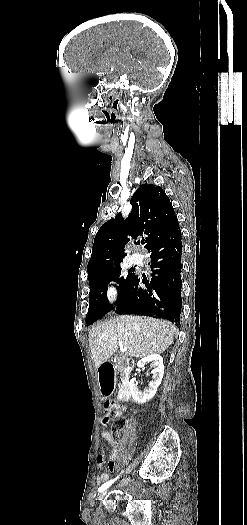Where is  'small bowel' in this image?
<instances>
[{"label": "small bowel", "mask_w": 247, "mask_h": 525, "mask_svg": "<svg viewBox=\"0 0 247 525\" xmlns=\"http://www.w3.org/2000/svg\"><path fill=\"white\" fill-rule=\"evenodd\" d=\"M101 437L104 440H106L108 443H110L112 448H113V453H112V455H111V457L109 459V469H110V471H113L114 468H115V465H116V461L118 459V443L115 440L113 434L108 432V431H103L101 433ZM96 462H97L98 467H101L103 465V463L105 462L104 454H102V453L98 454V456L96 458ZM109 477H110V472L109 471H104V472H102V473L97 475L96 483L98 485L103 484L109 479Z\"/></svg>", "instance_id": "obj_1"}]
</instances>
